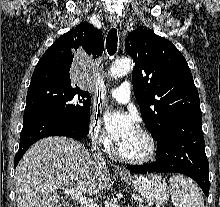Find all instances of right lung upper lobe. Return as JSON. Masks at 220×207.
I'll use <instances>...</instances> for the list:
<instances>
[{
	"label": "right lung upper lobe",
	"instance_id": "1",
	"mask_svg": "<svg viewBox=\"0 0 220 207\" xmlns=\"http://www.w3.org/2000/svg\"><path fill=\"white\" fill-rule=\"evenodd\" d=\"M81 48L91 58L101 56L104 50L101 30L87 22L58 38L40 58L31 77L30 86L40 83L70 85V67L74 51Z\"/></svg>",
	"mask_w": 220,
	"mask_h": 207
}]
</instances>
